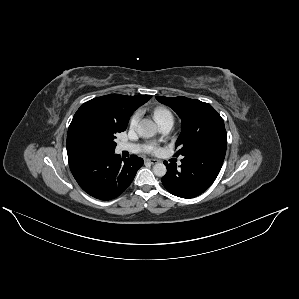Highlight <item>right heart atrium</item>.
I'll use <instances>...</instances> for the list:
<instances>
[{
    "label": "right heart atrium",
    "instance_id": "d8ad5b80",
    "mask_svg": "<svg viewBox=\"0 0 299 299\" xmlns=\"http://www.w3.org/2000/svg\"><path fill=\"white\" fill-rule=\"evenodd\" d=\"M140 116H141L140 111H137L132 115V117L130 118V122H129L131 128H134L137 125V123L140 119Z\"/></svg>",
    "mask_w": 299,
    "mask_h": 299
}]
</instances>
